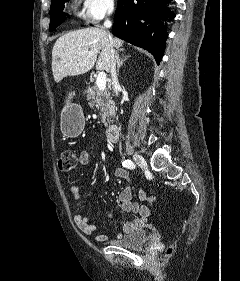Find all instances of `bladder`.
Segmentation results:
<instances>
[{
    "instance_id": "bladder-1",
    "label": "bladder",
    "mask_w": 240,
    "mask_h": 281,
    "mask_svg": "<svg viewBox=\"0 0 240 281\" xmlns=\"http://www.w3.org/2000/svg\"><path fill=\"white\" fill-rule=\"evenodd\" d=\"M149 239V234L145 229H139L115 239L111 244L127 249L141 248Z\"/></svg>"
}]
</instances>
